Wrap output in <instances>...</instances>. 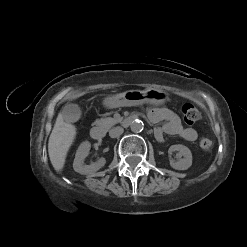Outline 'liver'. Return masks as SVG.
<instances>
[{
    "label": "liver",
    "mask_w": 247,
    "mask_h": 247,
    "mask_svg": "<svg viewBox=\"0 0 247 247\" xmlns=\"http://www.w3.org/2000/svg\"><path fill=\"white\" fill-rule=\"evenodd\" d=\"M76 134V127L65 122L62 113H59L48 141L49 158L57 172L64 168L67 153Z\"/></svg>",
    "instance_id": "liver-1"
}]
</instances>
